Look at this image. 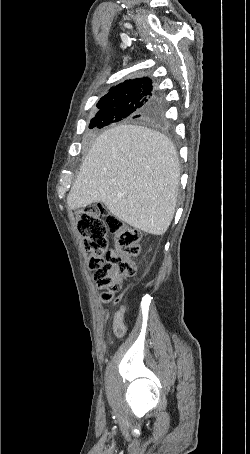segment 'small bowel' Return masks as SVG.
<instances>
[{
	"label": "small bowel",
	"mask_w": 250,
	"mask_h": 454,
	"mask_svg": "<svg viewBox=\"0 0 250 454\" xmlns=\"http://www.w3.org/2000/svg\"><path fill=\"white\" fill-rule=\"evenodd\" d=\"M125 308L120 307L113 316V332L117 337H121L126 332V325L124 323Z\"/></svg>",
	"instance_id": "1"
}]
</instances>
